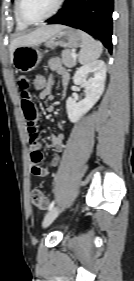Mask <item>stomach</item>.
<instances>
[{
  "label": "stomach",
  "instance_id": "0dacf381",
  "mask_svg": "<svg viewBox=\"0 0 134 281\" xmlns=\"http://www.w3.org/2000/svg\"><path fill=\"white\" fill-rule=\"evenodd\" d=\"M82 43L79 30L63 26L57 33L48 38L44 45L48 48L61 46L76 48ZM42 59V53L36 45L17 47L11 57V62L17 71L27 73L34 70Z\"/></svg>",
  "mask_w": 134,
  "mask_h": 281
}]
</instances>
